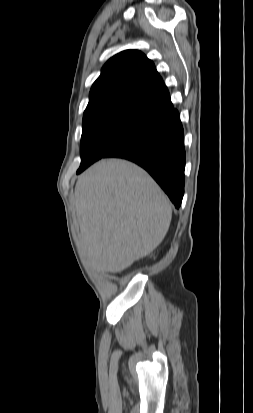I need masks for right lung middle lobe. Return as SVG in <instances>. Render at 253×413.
I'll list each match as a JSON object with an SVG mask.
<instances>
[{
    "label": "right lung middle lobe",
    "mask_w": 253,
    "mask_h": 413,
    "mask_svg": "<svg viewBox=\"0 0 253 413\" xmlns=\"http://www.w3.org/2000/svg\"><path fill=\"white\" fill-rule=\"evenodd\" d=\"M158 120V117L130 109H109L84 116L81 164L77 174Z\"/></svg>",
    "instance_id": "right-lung-middle-lobe-1"
}]
</instances>
